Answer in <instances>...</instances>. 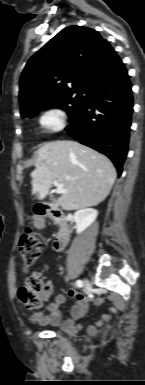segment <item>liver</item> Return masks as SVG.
Masks as SVG:
<instances>
[{
    "instance_id": "6515ba94",
    "label": "liver",
    "mask_w": 145,
    "mask_h": 385,
    "mask_svg": "<svg viewBox=\"0 0 145 385\" xmlns=\"http://www.w3.org/2000/svg\"><path fill=\"white\" fill-rule=\"evenodd\" d=\"M31 173L32 193L44 199L54 180L66 193L58 199L63 210L96 206L106 199L116 180L112 162L103 154L75 141H54L40 146Z\"/></svg>"
}]
</instances>
